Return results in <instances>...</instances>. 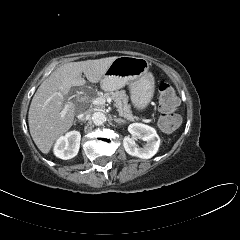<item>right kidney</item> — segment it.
Wrapping results in <instances>:
<instances>
[{
  "label": "right kidney",
  "mask_w": 240,
  "mask_h": 240,
  "mask_svg": "<svg viewBox=\"0 0 240 240\" xmlns=\"http://www.w3.org/2000/svg\"><path fill=\"white\" fill-rule=\"evenodd\" d=\"M81 134L78 131H70L65 136L57 139L54 145V154L63 160L75 157L80 148Z\"/></svg>",
  "instance_id": "ca27d5eb"
}]
</instances>
